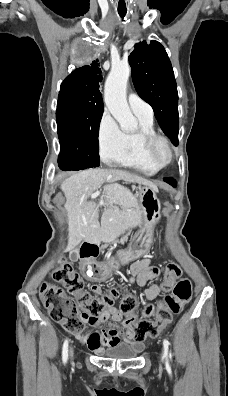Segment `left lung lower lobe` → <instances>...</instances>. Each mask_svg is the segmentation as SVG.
<instances>
[{
	"instance_id": "0a47b994",
	"label": "left lung lower lobe",
	"mask_w": 228,
	"mask_h": 396,
	"mask_svg": "<svg viewBox=\"0 0 228 396\" xmlns=\"http://www.w3.org/2000/svg\"><path fill=\"white\" fill-rule=\"evenodd\" d=\"M165 182H167L168 184L172 185L173 187H176V181L173 178H164L163 179Z\"/></svg>"
}]
</instances>
